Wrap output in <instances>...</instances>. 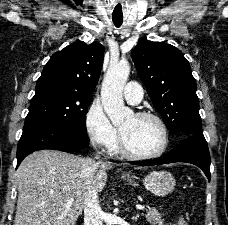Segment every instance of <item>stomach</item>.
I'll return each instance as SVG.
<instances>
[{
	"mask_svg": "<svg viewBox=\"0 0 228 225\" xmlns=\"http://www.w3.org/2000/svg\"><path fill=\"white\" fill-rule=\"evenodd\" d=\"M127 177H129V175L123 173L122 179L129 181ZM129 183H133L132 177ZM143 183L146 191H150V193L156 195V197H166L168 193H173L176 187V181L173 175L167 173V171H152V173L146 175Z\"/></svg>",
	"mask_w": 228,
	"mask_h": 225,
	"instance_id": "0dacf381",
	"label": "stomach"
}]
</instances>
